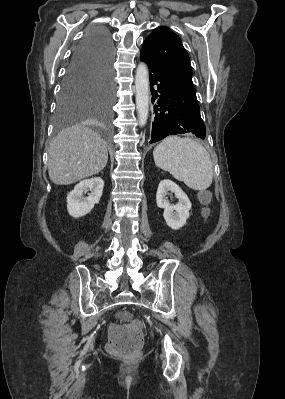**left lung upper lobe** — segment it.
I'll list each match as a JSON object with an SVG mask.
<instances>
[{
	"instance_id": "obj_1",
	"label": "left lung upper lobe",
	"mask_w": 285,
	"mask_h": 399,
	"mask_svg": "<svg viewBox=\"0 0 285 399\" xmlns=\"http://www.w3.org/2000/svg\"><path fill=\"white\" fill-rule=\"evenodd\" d=\"M141 51L196 96L189 56L173 31L164 26L157 27L145 39Z\"/></svg>"
}]
</instances>
